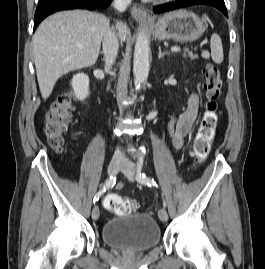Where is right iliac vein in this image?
Wrapping results in <instances>:
<instances>
[{
  "label": "right iliac vein",
  "mask_w": 265,
  "mask_h": 269,
  "mask_svg": "<svg viewBox=\"0 0 265 269\" xmlns=\"http://www.w3.org/2000/svg\"><path fill=\"white\" fill-rule=\"evenodd\" d=\"M121 166H122V162L119 159L111 160V162L109 163V166H108V174L115 175L119 171ZM99 216H100L99 207L96 205V206H94V208L92 210V218H93V220H98Z\"/></svg>",
  "instance_id": "obj_1"
}]
</instances>
